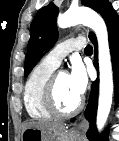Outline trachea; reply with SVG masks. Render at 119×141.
<instances>
[{
  "label": "trachea",
  "instance_id": "trachea-1",
  "mask_svg": "<svg viewBox=\"0 0 119 141\" xmlns=\"http://www.w3.org/2000/svg\"><path fill=\"white\" fill-rule=\"evenodd\" d=\"M85 52H92L93 51V48H92V46L91 45H87L86 47H85V50H84Z\"/></svg>",
  "mask_w": 119,
  "mask_h": 141
}]
</instances>
